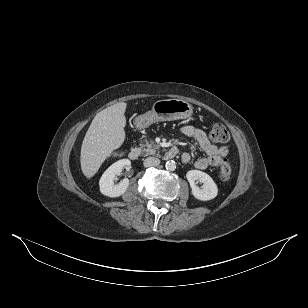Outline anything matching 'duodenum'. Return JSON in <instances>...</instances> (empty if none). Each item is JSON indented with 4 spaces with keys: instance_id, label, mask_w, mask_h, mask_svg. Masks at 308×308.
Returning a JSON list of instances; mask_svg holds the SVG:
<instances>
[{
    "instance_id": "1",
    "label": "duodenum",
    "mask_w": 308,
    "mask_h": 308,
    "mask_svg": "<svg viewBox=\"0 0 308 308\" xmlns=\"http://www.w3.org/2000/svg\"><path fill=\"white\" fill-rule=\"evenodd\" d=\"M178 154V149L176 147H172L170 148L166 154H165V157L167 159H172L174 158L176 155ZM129 159L132 160V161H135L137 160L139 157H140V150L138 148H133L131 149V151L129 152V155H128Z\"/></svg>"
}]
</instances>
